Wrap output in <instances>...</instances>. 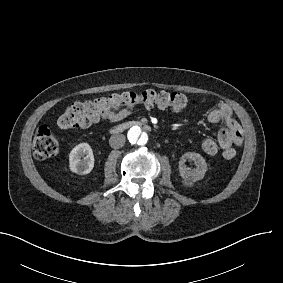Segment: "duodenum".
I'll use <instances>...</instances> for the list:
<instances>
[{
  "mask_svg": "<svg viewBox=\"0 0 283 283\" xmlns=\"http://www.w3.org/2000/svg\"><path fill=\"white\" fill-rule=\"evenodd\" d=\"M131 127H140L144 130H149L150 129V126L144 122H140V121H128V122H125V123H121V124H118V125H115L112 127L111 131L113 133H118V132H122L126 129H129Z\"/></svg>",
  "mask_w": 283,
  "mask_h": 283,
  "instance_id": "duodenum-1",
  "label": "duodenum"
}]
</instances>
